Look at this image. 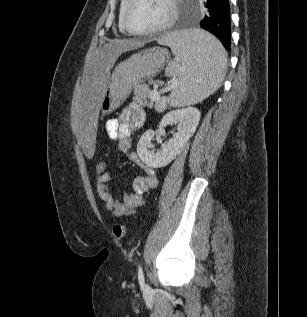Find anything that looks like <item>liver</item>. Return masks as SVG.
<instances>
[{
  "label": "liver",
  "instance_id": "1",
  "mask_svg": "<svg viewBox=\"0 0 307 317\" xmlns=\"http://www.w3.org/2000/svg\"><path fill=\"white\" fill-rule=\"evenodd\" d=\"M144 44L125 39L111 40L86 64L82 85L72 109V129L80 140L78 148L81 149L84 159H91L92 154L99 149V142H95L96 137L92 133L97 126L101 97L108 78L112 76L110 69L123 52L140 48Z\"/></svg>",
  "mask_w": 307,
  "mask_h": 317
}]
</instances>
